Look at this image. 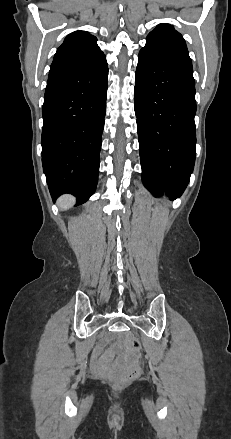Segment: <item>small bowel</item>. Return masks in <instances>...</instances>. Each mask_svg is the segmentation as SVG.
Masks as SVG:
<instances>
[{
    "label": "small bowel",
    "mask_w": 231,
    "mask_h": 439,
    "mask_svg": "<svg viewBox=\"0 0 231 439\" xmlns=\"http://www.w3.org/2000/svg\"><path fill=\"white\" fill-rule=\"evenodd\" d=\"M94 363H96L99 367L101 366V363L99 362V360L97 358H94Z\"/></svg>",
    "instance_id": "obj_1"
}]
</instances>
